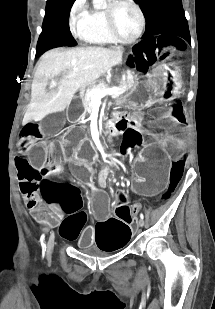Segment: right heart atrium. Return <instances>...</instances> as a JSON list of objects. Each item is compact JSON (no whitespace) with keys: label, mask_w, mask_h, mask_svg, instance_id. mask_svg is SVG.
Here are the masks:
<instances>
[{"label":"right heart atrium","mask_w":215,"mask_h":309,"mask_svg":"<svg viewBox=\"0 0 215 309\" xmlns=\"http://www.w3.org/2000/svg\"><path fill=\"white\" fill-rule=\"evenodd\" d=\"M75 6L76 7H83L84 6V0H75ZM87 18L85 17V14H82L80 11L73 9L70 14V23L71 26L76 34L78 25H87Z\"/></svg>","instance_id":"d8ad5b80"}]
</instances>
